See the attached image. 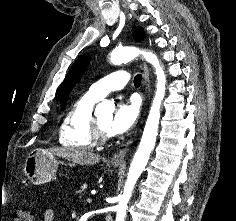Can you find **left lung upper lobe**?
<instances>
[{"label":"left lung upper lobe","instance_id":"left-lung-upper-lobe-1","mask_svg":"<svg viewBox=\"0 0 236 221\" xmlns=\"http://www.w3.org/2000/svg\"><path fill=\"white\" fill-rule=\"evenodd\" d=\"M133 35L137 41H140L145 37L144 30L140 26L134 27ZM89 60L90 56L84 55L79 58L69 70L59 92V99L62 103L67 101L69 93L84 74L89 64Z\"/></svg>","mask_w":236,"mask_h":221}]
</instances>
